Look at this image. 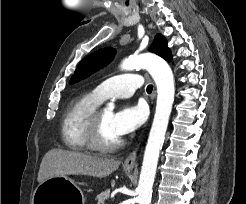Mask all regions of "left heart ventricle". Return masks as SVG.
Here are the masks:
<instances>
[{
    "label": "left heart ventricle",
    "mask_w": 246,
    "mask_h": 204,
    "mask_svg": "<svg viewBox=\"0 0 246 204\" xmlns=\"http://www.w3.org/2000/svg\"><path fill=\"white\" fill-rule=\"evenodd\" d=\"M112 118L113 113L111 111H101V140L104 143H113L121 138L113 127Z\"/></svg>",
    "instance_id": "b2bd125f"
}]
</instances>
